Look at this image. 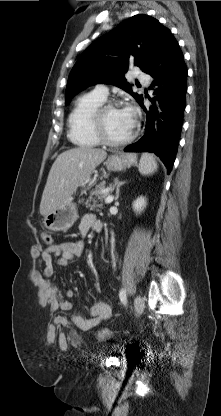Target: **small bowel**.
Returning <instances> with one entry per match:
<instances>
[{
	"label": "small bowel",
	"mask_w": 221,
	"mask_h": 416,
	"mask_svg": "<svg viewBox=\"0 0 221 416\" xmlns=\"http://www.w3.org/2000/svg\"><path fill=\"white\" fill-rule=\"evenodd\" d=\"M102 222L93 214L83 216L79 224V233L81 236L88 234L90 230L100 232L102 230ZM84 244L82 241H64L53 244L42 251H36L34 256L41 258L44 263L42 271L34 270L33 280L42 287V300L47 304L52 312L58 310L70 311L73 308L71 299L74 297V291L66 290L61 293L57 283L49 279L54 273L53 257H56L58 266H68L71 262L82 257ZM112 315L111 306L104 299L97 300L89 309V317L85 318L79 314H72L70 319L60 316L56 319V323L60 326H71L81 331H90L97 327L101 322L109 319Z\"/></svg>",
	"instance_id": "small-bowel-1"
}]
</instances>
